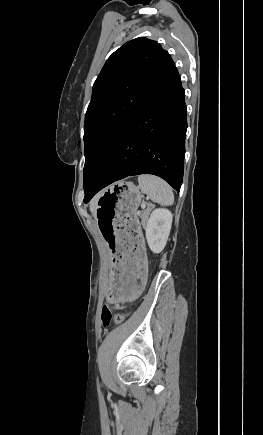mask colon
Wrapping results in <instances>:
<instances>
[{"label": "colon", "mask_w": 263, "mask_h": 435, "mask_svg": "<svg viewBox=\"0 0 263 435\" xmlns=\"http://www.w3.org/2000/svg\"><path fill=\"white\" fill-rule=\"evenodd\" d=\"M113 321L117 323L121 322L122 321L121 314L117 311V308L114 306H110V305L103 306L101 311V322L103 326L107 327Z\"/></svg>", "instance_id": "5ec220e1"}]
</instances>
